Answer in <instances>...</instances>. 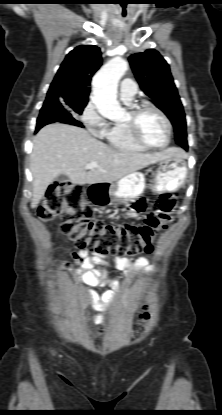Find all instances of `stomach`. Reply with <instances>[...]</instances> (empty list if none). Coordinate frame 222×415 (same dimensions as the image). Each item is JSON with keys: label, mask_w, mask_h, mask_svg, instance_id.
I'll return each mask as SVG.
<instances>
[{"label": "stomach", "mask_w": 222, "mask_h": 415, "mask_svg": "<svg viewBox=\"0 0 222 415\" xmlns=\"http://www.w3.org/2000/svg\"><path fill=\"white\" fill-rule=\"evenodd\" d=\"M156 188L174 191L186 181L187 165L184 156H172L158 162ZM146 187L145 175L133 172L117 181L116 184L97 183L89 188L91 200L105 207L113 203H127L140 196Z\"/></svg>", "instance_id": "stomach-1"}]
</instances>
